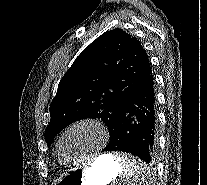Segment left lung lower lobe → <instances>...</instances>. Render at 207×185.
<instances>
[{"mask_svg": "<svg viewBox=\"0 0 207 185\" xmlns=\"http://www.w3.org/2000/svg\"><path fill=\"white\" fill-rule=\"evenodd\" d=\"M103 151H121L150 163L156 151V105L152 72L123 103Z\"/></svg>", "mask_w": 207, "mask_h": 185, "instance_id": "1", "label": "left lung lower lobe"}]
</instances>
